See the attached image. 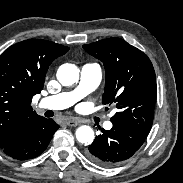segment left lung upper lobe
Segmentation results:
<instances>
[{
  "mask_svg": "<svg viewBox=\"0 0 183 183\" xmlns=\"http://www.w3.org/2000/svg\"><path fill=\"white\" fill-rule=\"evenodd\" d=\"M83 48L105 66L102 102L116 108L111 122L128 123L149 133L156 101V77L149 58L120 38L103 39Z\"/></svg>",
  "mask_w": 183,
  "mask_h": 183,
  "instance_id": "left-lung-upper-lobe-1",
  "label": "left lung upper lobe"
}]
</instances>
